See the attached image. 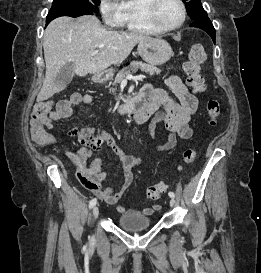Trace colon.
Wrapping results in <instances>:
<instances>
[{
  "label": "colon",
  "instance_id": "1",
  "mask_svg": "<svg viewBox=\"0 0 261 273\" xmlns=\"http://www.w3.org/2000/svg\"><path fill=\"white\" fill-rule=\"evenodd\" d=\"M206 60V50L201 44H194L190 51L188 60L184 64V72L187 76L188 85L197 93L205 90L204 79L200 73V66ZM206 111L211 126H216L220 117L221 108L216 100H209L206 105ZM52 112H57L61 117H67L71 114V106L64 101L56 106L51 101L37 104L31 114L30 133L37 144L48 146L53 143L52 136L46 131V120ZM196 157L195 149H187L183 153V159L186 164H191ZM167 187L163 183L150 186L146 190L149 199L157 200L166 191Z\"/></svg>",
  "mask_w": 261,
  "mask_h": 273
}]
</instances>
